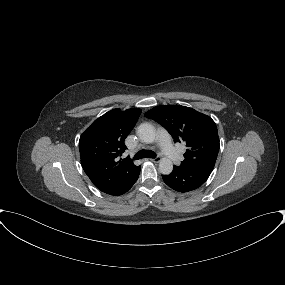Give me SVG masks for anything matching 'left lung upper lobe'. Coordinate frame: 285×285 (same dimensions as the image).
<instances>
[{"mask_svg": "<svg viewBox=\"0 0 285 285\" xmlns=\"http://www.w3.org/2000/svg\"><path fill=\"white\" fill-rule=\"evenodd\" d=\"M145 117L161 124L175 142H182L187 150L181 168L213 169L219 151V137L215 122L196 110L180 106H157Z\"/></svg>", "mask_w": 285, "mask_h": 285, "instance_id": "5c2ea615", "label": "left lung upper lobe"}]
</instances>
